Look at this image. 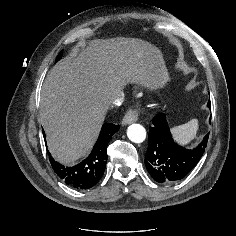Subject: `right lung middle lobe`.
<instances>
[{"label":"right lung middle lobe","instance_id":"dd1d6c3e","mask_svg":"<svg viewBox=\"0 0 236 236\" xmlns=\"http://www.w3.org/2000/svg\"><path fill=\"white\" fill-rule=\"evenodd\" d=\"M61 56H62V52H60V54H59L58 57L56 58V61H55V62H57V61L61 58Z\"/></svg>","mask_w":236,"mask_h":236}]
</instances>
